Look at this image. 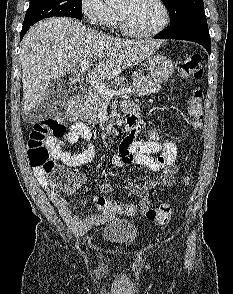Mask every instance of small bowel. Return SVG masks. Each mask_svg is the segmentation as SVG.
Listing matches in <instances>:
<instances>
[{"instance_id":"small-bowel-1","label":"small bowel","mask_w":233,"mask_h":294,"mask_svg":"<svg viewBox=\"0 0 233 294\" xmlns=\"http://www.w3.org/2000/svg\"><path fill=\"white\" fill-rule=\"evenodd\" d=\"M132 105L125 103L126 106ZM138 113V111H137ZM142 123L137 118V131L141 128ZM91 137L89 127L83 122H75L70 125L68 132L54 141L56 154L62 159L63 163L70 167H78L90 163L95 156V148L88 144L86 149L81 153L71 154L64 150L65 142L75 144L80 140L88 141ZM160 135L154 128L148 141H136L134 138L124 139L118 148L117 154L113 157L112 163L116 167L128 165H139L158 175L154 179L147 180L144 184L135 181L128 184L129 195L136 196L140 199L141 212L145 213L149 207V192L155 186L170 187L175 183L177 166V147L173 141L166 139L163 143L159 141ZM34 173L40 184L47 190L48 196L52 203L58 209L65 222L76 232L84 233L93 226L104 224L110 221L117 213H122V204L107 199L103 196L94 198V204L100 213L83 215L77 212L71 203L62 197L61 192L57 190L50 182V178L41 169L34 168ZM79 187L87 184L88 178L83 174H75ZM98 189L103 193H111V185L102 183Z\"/></svg>"}]
</instances>
